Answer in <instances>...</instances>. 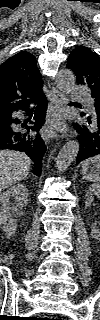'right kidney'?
I'll list each match as a JSON object with an SVG mask.
<instances>
[{"instance_id":"1","label":"right kidney","mask_w":100,"mask_h":320,"mask_svg":"<svg viewBox=\"0 0 100 320\" xmlns=\"http://www.w3.org/2000/svg\"><path fill=\"white\" fill-rule=\"evenodd\" d=\"M27 204L28 191L23 184L14 185L0 194V226L8 236L15 234L16 218L23 215V208Z\"/></svg>"}]
</instances>
